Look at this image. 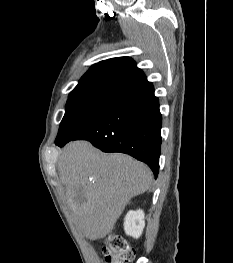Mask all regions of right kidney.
I'll return each instance as SVG.
<instances>
[{"label":"right kidney","mask_w":233,"mask_h":263,"mask_svg":"<svg viewBox=\"0 0 233 263\" xmlns=\"http://www.w3.org/2000/svg\"><path fill=\"white\" fill-rule=\"evenodd\" d=\"M144 217L143 210L129 211L124 221L125 233L133 238H139L145 226Z\"/></svg>","instance_id":"obj_1"}]
</instances>
